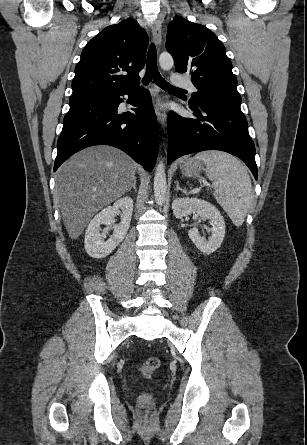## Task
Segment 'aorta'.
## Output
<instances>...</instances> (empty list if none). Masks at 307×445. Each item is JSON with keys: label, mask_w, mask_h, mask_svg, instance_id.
<instances>
[{"label": "aorta", "mask_w": 307, "mask_h": 445, "mask_svg": "<svg viewBox=\"0 0 307 445\" xmlns=\"http://www.w3.org/2000/svg\"><path fill=\"white\" fill-rule=\"evenodd\" d=\"M159 64L163 70H170L174 64V60L169 52H161L159 56ZM167 180L163 160H159L154 176V196L157 204H163L166 198Z\"/></svg>", "instance_id": "1"}]
</instances>
